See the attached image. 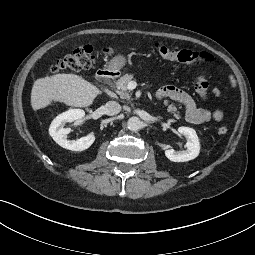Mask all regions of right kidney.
<instances>
[{"mask_svg":"<svg viewBox=\"0 0 255 255\" xmlns=\"http://www.w3.org/2000/svg\"><path fill=\"white\" fill-rule=\"evenodd\" d=\"M84 117L85 112L81 109H70L58 115L50 125V136L63 148L72 151H84L88 149L95 141V135L93 133L77 140H67V135L71 132V129L64 127L66 123L82 121Z\"/></svg>","mask_w":255,"mask_h":255,"instance_id":"ca27d5eb","label":"right kidney"}]
</instances>
